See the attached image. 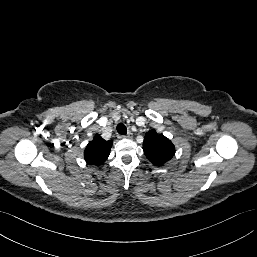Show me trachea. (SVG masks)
Masks as SVG:
<instances>
[{
  "label": "trachea",
  "mask_w": 257,
  "mask_h": 257,
  "mask_svg": "<svg viewBox=\"0 0 257 257\" xmlns=\"http://www.w3.org/2000/svg\"><path fill=\"white\" fill-rule=\"evenodd\" d=\"M117 132L121 135H126L127 134V128L123 123H119L117 125Z\"/></svg>",
  "instance_id": "1"
}]
</instances>
